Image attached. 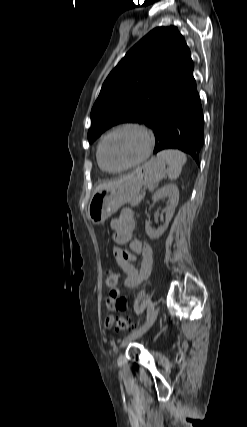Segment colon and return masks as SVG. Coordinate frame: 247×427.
<instances>
[{
	"label": "colon",
	"instance_id": "1",
	"mask_svg": "<svg viewBox=\"0 0 247 427\" xmlns=\"http://www.w3.org/2000/svg\"><path fill=\"white\" fill-rule=\"evenodd\" d=\"M119 281V276L115 272H107L105 284L108 289L115 290ZM134 327V320L131 316H120L116 319V328L118 330H131Z\"/></svg>",
	"mask_w": 247,
	"mask_h": 427
}]
</instances>
